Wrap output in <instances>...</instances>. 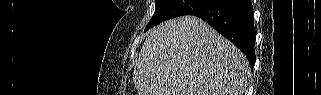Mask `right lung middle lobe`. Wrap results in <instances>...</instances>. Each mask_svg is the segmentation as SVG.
<instances>
[{
  "mask_svg": "<svg viewBox=\"0 0 321 95\" xmlns=\"http://www.w3.org/2000/svg\"><path fill=\"white\" fill-rule=\"evenodd\" d=\"M210 0H156L155 13L145 31L174 17L188 15L207 4Z\"/></svg>",
  "mask_w": 321,
  "mask_h": 95,
  "instance_id": "right-lung-middle-lobe-1",
  "label": "right lung middle lobe"
}]
</instances>
